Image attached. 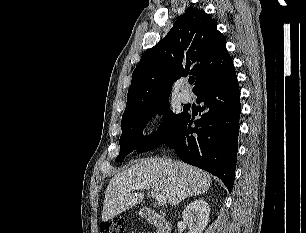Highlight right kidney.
Instances as JSON below:
<instances>
[{"instance_id":"ca27d5eb","label":"right kidney","mask_w":306,"mask_h":233,"mask_svg":"<svg viewBox=\"0 0 306 233\" xmlns=\"http://www.w3.org/2000/svg\"><path fill=\"white\" fill-rule=\"evenodd\" d=\"M210 207L202 199L191 202L182 212L184 223L188 226V233H202L209 222Z\"/></svg>"}]
</instances>
